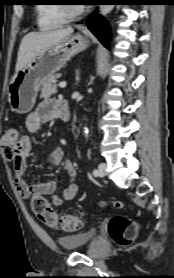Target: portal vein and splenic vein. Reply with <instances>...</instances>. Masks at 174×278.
<instances>
[{"mask_svg": "<svg viewBox=\"0 0 174 278\" xmlns=\"http://www.w3.org/2000/svg\"><path fill=\"white\" fill-rule=\"evenodd\" d=\"M59 87L60 88H65L66 87V82L65 81L60 82Z\"/></svg>", "mask_w": 174, "mask_h": 278, "instance_id": "portal-vein-and-splenic-vein-1", "label": "portal vein and splenic vein"}]
</instances>
